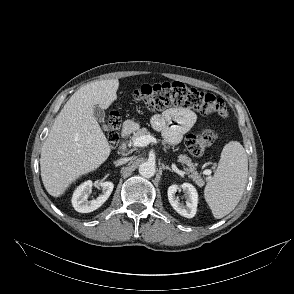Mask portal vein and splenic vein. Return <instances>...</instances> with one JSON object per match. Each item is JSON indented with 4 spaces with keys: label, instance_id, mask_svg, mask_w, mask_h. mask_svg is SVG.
<instances>
[{
    "label": "portal vein and splenic vein",
    "instance_id": "1",
    "mask_svg": "<svg viewBox=\"0 0 294 294\" xmlns=\"http://www.w3.org/2000/svg\"><path fill=\"white\" fill-rule=\"evenodd\" d=\"M150 143H157L156 138L151 135H143L132 141V144L137 147H145Z\"/></svg>",
    "mask_w": 294,
    "mask_h": 294
}]
</instances>
